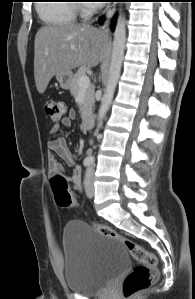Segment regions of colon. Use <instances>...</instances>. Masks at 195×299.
Instances as JSON below:
<instances>
[{"mask_svg": "<svg viewBox=\"0 0 195 299\" xmlns=\"http://www.w3.org/2000/svg\"><path fill=\"white\" fill-rule=\"evenodd\" d=\"M45 112L53 122H59L67 113V104L61 100H48L45 103ZM51 186L57 205L61 207L77 205L68 191V182L63 175L55 174L51 178ZM93 227L101 235L123 244L138 263L123 281L122 292L125 297L133 296L156 282L157 258L153 253L107 225L93 222Z\"/></svg>", "mask_w": 195, "mask_h": 299, "instance_id": "5ec220e1", "label": "colon"}]
</instances>
